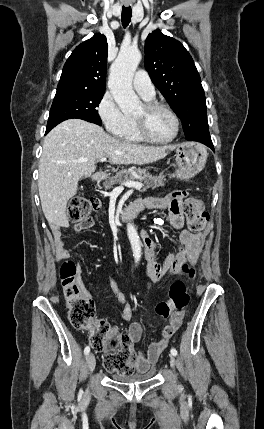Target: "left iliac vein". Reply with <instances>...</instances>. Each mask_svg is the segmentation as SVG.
I'll use <instances>...</instances> for the list:
<instances>
[{
    "label": "left iliac vein",
    "instance_id": "obj_1",
    "mask_svg": "<svg viewBox=\"0 0 264 429\" xmlns=\"http://www.w3.org/2000/svg\"><path fill=\"white\" fill-rule=\"evenodd\" d=\"M170 366L174 369L176 366V359L173 355L170 356Z\"/></svg>",
    "mask_w": 264,
    "mask_h": 429
}]
</instances>
